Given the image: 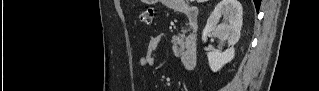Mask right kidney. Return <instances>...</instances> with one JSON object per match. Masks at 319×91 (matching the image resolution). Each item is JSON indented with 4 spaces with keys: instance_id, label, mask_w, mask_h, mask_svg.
I'll return each instance as SVG.
<instances>
[{
    "instance_id": "obj_1",
    "label": "right kidney",
    "mask_w": 319,
    "mask_h": 91,
    "mask_svg": "<svg viewBox=\"0 0 319 91\" xmlns=\"http://www.w3.org/2000/svg\"><path fill=\"white\" fill-rule=\"evenodd\" d=\"M242 5L238 0H221L214 8L202 33V40L206 42L207 35H214L222 41L228 40L231 45L225 52H208V62L211 70L217 72L235 56L234 45L240 38L242 27ZM223 22L219 25L220 18Z\"/></svg>"
}]
</instances>
